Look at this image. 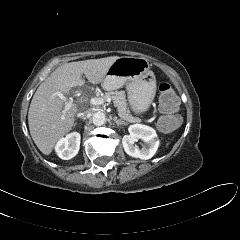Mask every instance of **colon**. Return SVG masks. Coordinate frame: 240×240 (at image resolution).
I'll return each instance as SVG.
<instances>
[{"instance_id": "5ec220e1", "label": "colon", "mask_w": 240, "mask_h": 240, "mask_svg": "<svg viewBox=\"0 0 240 240\" xmlns=\"http://www.w3.org/2000/svg\"><path fill=\"white\" fill-rule=\"evenodd\" d=\"M179 100L173 88L166 82L159 85V126L163 131L174 130L181 122L178 114Z\"/></svg>"}]
</instances>
